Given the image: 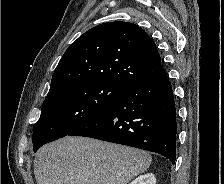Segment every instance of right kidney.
I'll return each mask as SVG.
<instances>
[{"instance_id": "obj_1", "label": "right kidney", "mask_w": 224, "mask_h": 184, "mask_svg": "<svg viewBox=\"0 0 224 184\" xmlns=\"http://www.w3.org/2000/svg\"><path fill=\"white\" fill-rule=\"evenodd\" d=\"M130 184H156V178L154 174L147 173L144 175H140L135 180H133Z\"/></svg>"}]
</instances>
